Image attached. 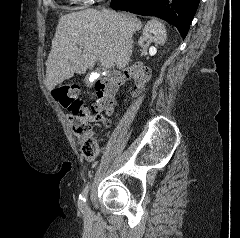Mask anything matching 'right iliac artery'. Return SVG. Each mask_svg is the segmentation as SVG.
Instances as JSON below:
<instances>
[{"label":"right iliac artery","mask_w":240,"mask_h":238,"mask_svg":"<svg viewBox=\"0 0 240 238\" xmlns=\"http://www.w3.org/2000/svg\"><path fill=\"white\" fill-rule=\"evenodd\" d=\"M88 191H89V186L87 185L84 190L82 191V194L80 195L79 197V205L81 207L85 206V203H86V197H87V194H88Z\"/></svg>","instance_id":"right-iliac-artery-1"}]
</instances>
